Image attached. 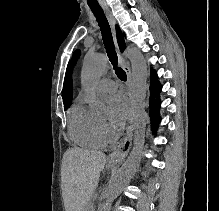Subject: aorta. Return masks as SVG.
Wrapping results in <instances>:
<instances>
[{
    "label": "aorta",
    "mask_w": 219,
    "mask_h": 211,
    "mask_svg": "<svg viewBox=\"0 0 219 211\" xmlns=\"http://www.w3.org/2000/svg\"><path fill=\"white\" fill-rule=\"evenodd\" d=\"M128 58L132 69V115L135 123L133 148L126 162L112 178L106 191V204L119 196L136 173L143 154L146 128L145 99L147 90V65L144 56L137 48L128 50ZM105 55H93L84 59L81 71L82 86L90 91L107 67ZM92 113L97 117H105L108 113L106 104L95 98L91 105Z\"/></svg>",
    "instance_id": "762f6f07"
}]
</instances>
